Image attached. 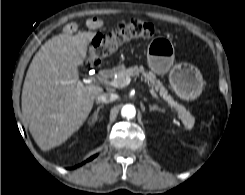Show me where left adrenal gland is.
Masks as SVG:
<instances>
[{
	"instance_id": "a2214340",
	"label": "left adrenal gland",
	"mask_w": 245,
	"mask_h": 195,
	"mask_svg": "<svg viewBox=\"0 0 245 195\" xmlns=\"http://www.w3.org/2000/svg\"><path fill=\"white\" fill-rule=\"evenodd\" d=\"M149 110L150 111H162L157 105H152V104H149Z\"/></svg>"
}]
</instances>
